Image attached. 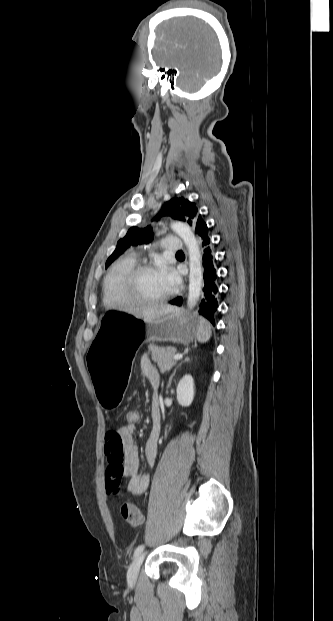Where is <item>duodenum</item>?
Masks as SVG:
<instances>
[{
  "instance_id": "410a0bca",
  "label": "duodenum",
  "mask_w": 333,
  "mask_h": 621,
  "mask_svg": "<svg viewBox=\"0 0 333 621\" xmlns=\"http://www.w3.org/2000/svg\"><path fill=\"white\" fill-rule=\"evenodd\" d=\"M153 422H154V424H155L156 426H158V425H159V423H160V417H159V415H158V414H154V416H153Z\"/></svg>"
}]
</instances>
